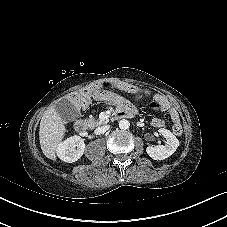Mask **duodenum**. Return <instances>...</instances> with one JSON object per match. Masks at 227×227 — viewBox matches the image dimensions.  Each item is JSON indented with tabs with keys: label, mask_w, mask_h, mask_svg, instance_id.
<instances>
[{
	"label": "duodenum",
	"mask_w": 227,
	"mask_h": 227,
	"mask_svg": "<svg viewBox=\"0 0 227 227\" xmlns=\"http://www.w3.org/2000/svg\"><path fill=\"white\" fill-rule=\"evenodd\" d=\"M131 115V113H123L121 111H117V113L115 114L114 118L115 119H120L124 116H129ZM78 131H79V134L83 137H85L87 135V126L85 124V122H80L78 124Z\"/></svg>",
	"instance_id": "410a0bca"
}]
</instances>
